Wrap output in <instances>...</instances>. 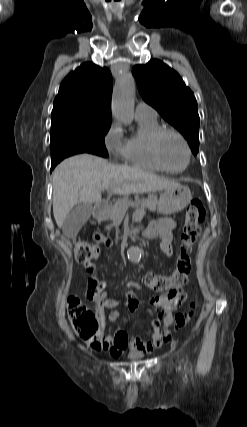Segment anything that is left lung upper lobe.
I'll return each instance as SVG.
<instances>
[{
  "label": "left lung upper lobe",
  "instance_id": "obj_1",
  "mask_svg": "<svg viewBox=\"0 0 247 427\" xmlns=\"http://www.w3.org/2000/svg\"><path fill=\"white\" fill-rule=\"evenodd\" d=\"M143 99L187 139L192 153L199 151V115L193 92L179 74L159 60L133 70Z\"/></svg>",
  "mask_w": 247,
  "mask_h": 427
}]
</instances>
